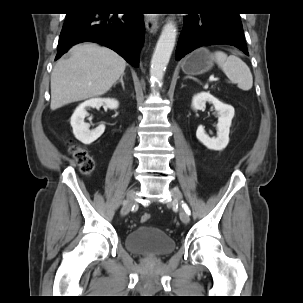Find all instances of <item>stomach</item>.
Masks as SVG:
<instances>
[{
	"label": "stomach",
	"mask_w": 303,
	"mask_h": 303,
	"mask_svg": "<svg viewBox=\"0 0 303 303\" xmlns=\"http://www.w3.org/2000/svg\"><path fill=\"white\" fill-rule=\"evenodd\" d=\"M214 65L213 57L205 48H200L188 55L182 62V71L187 75H200Z\"/></svg>",
	"instance_id": "0dacf381"
}]
</instances>
